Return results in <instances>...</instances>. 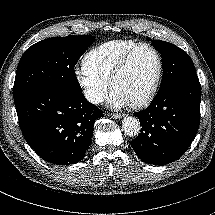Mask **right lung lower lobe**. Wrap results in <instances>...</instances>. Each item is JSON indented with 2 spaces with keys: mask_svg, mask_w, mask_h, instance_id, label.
Listing matches in <instances>:
<instances>
[{
  "mask_svg": "<svg viewBox=\"0 0 215 215\" xmlns=\"http://www.w3.org/2000/svg\"><path fill=\"white\" fill-rule=\"evenodd\" d=\"M14 102L26 142L43 160L69 165L83 159L102 111L81 92L40 88Z\"/></svg>",
  "mask_w": 215,
  "mask_h": 215,
  "instance_id": "right-lung-lower-lobe-1",
  "label": "right lung lower lobe"
}]
</instances>
